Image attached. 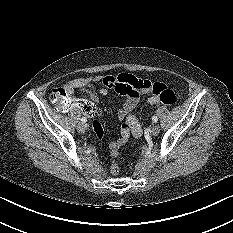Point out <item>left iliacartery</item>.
<instances>
[{
	"mask_svg": "<svg viewBox=\"0 0 233 233\" xmlns=\"http://www.w3.org/2000/svg\"><path fill=\"white\" fill-rule=\"evenodd\" d=\"M152 120H153V122H155V123H156V122L158 121L157 116H155V115H154V116L152 117Z\"/></svg>",
	"mask_w": 233,
	"mask_h": 233,
	"instance_id": "44dca946",
	"label": "left iliac artery"
}]
</instances>
